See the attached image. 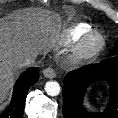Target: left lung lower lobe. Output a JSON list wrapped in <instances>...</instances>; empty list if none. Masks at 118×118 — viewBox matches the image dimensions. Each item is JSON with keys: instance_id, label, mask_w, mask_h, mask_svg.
I'll return each instance as SVG.
<instances>
[{"instance_id": "1", "label": "left lung lower lobe", "mask_w": 118, "mask_h": 118, "mask_svg": "<svg viewBox=\"0 0 118 118\" xmlns=\"http://www.w3.org/2000/svg\"><path fill=\"white\" fill-rule=\"evenodd\" d=\"M97 80L107 81L110 86V101L101 113L83 107L87 89ZM63 83L64 118H118V55L69 72Z\"/></svg>"}]
</instances>
